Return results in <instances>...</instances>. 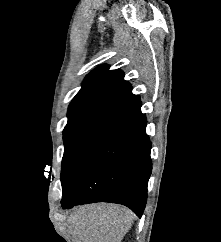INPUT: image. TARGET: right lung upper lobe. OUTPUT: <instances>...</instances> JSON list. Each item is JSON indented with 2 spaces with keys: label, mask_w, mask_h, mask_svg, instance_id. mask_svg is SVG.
<instances>
[{
  "label": "right lung upper lobe",
  "mask_w": 221,
  "mask_h": 242,
  "mask_svg": "<svg viewBox=\"0 0 221 242\" xmlns=\"http://www.w3.org/2000/svg\"><path fill=\"white\" fill-rule=\"evenodd\" d=\"M123 77L121 70H109L108 65L89 73L69 105L67 126L105 124L140 100Z\"/></svg>",
  "instance_id": "cb5924a9"
}]
</instances>
